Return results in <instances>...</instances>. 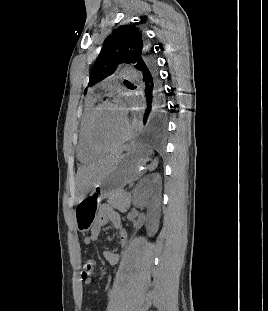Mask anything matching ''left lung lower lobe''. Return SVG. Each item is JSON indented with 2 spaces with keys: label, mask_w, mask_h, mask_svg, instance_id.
<instances>
[{
  "label": "left lung lower lobe",
  "mask_w": 268,
  "mask_h": 311,
  "mask_svg": "<svg viewBox=\"0 0 268 311\" xmlns=\"http://www.w3.org/2000/svg\"><path fill=\"white\" fill-rule=\"evenodd\" d=\"M137 70L141 74L142 89L147 108L143 116V132H138L139 141H166L168 132H164L166 125V107H164L160 76L157 63L153 56L146 54L140 61Z\"/></svg>",
  "instance_id": "0a47b994"
}]
</instances>
